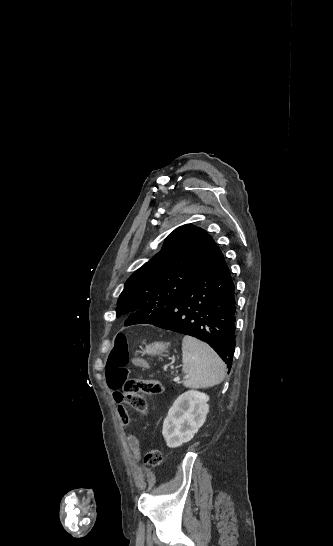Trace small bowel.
Segmentation results:
<instances>
[{"instance_id": "c3829d8e", "label": "small bowel", "mask_w": 333, "mask_h": 546, "mask_svg": "<svg viewBox=\"0 0 333 546\" xmlns=\"http://www.w3.org/2000/svg\"><path fill=\"white\" fill-rule=\"evenodd\" d=\"M131 363L134 365V370L136 372H147L149 365L146 360V358H143L141 354H133L131 356ZM113 399L118 404V413L121 416L120 420L122 421L120 424L124 427L130 426V420L131 417L128 414V408L124 407L125 399L122 398V392L115 390L113 392ZM127 444L130 449V451L133 453L135 458H138L140 455V447H139V441L138 439L132 435L129 434L127 436Z\"/></svg>"}]
</instances>
